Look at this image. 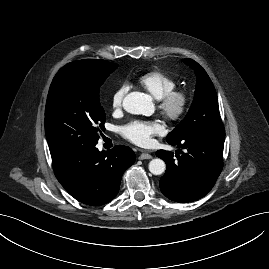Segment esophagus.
<instances>
[{
  "label": "esophagus",
  "mask_w": 269,
  "mask_h": 269,
  "mask_svg": "<svg viewBox=\"0 0 269 269\" xmlns=\"http://www.w3.org/2000/svg\"><path fill=\"white\" fill-rule=\"evenodd\" d=\"M140 160H146V159H152V155L148 154L147 152H143L140 156H139Z\"/></svg>",
  "instance_id": "esophagus-1"
}]
</instances>
